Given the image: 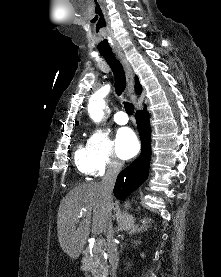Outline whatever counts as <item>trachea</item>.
I'll use <instances>...</instances> for the list:
<instances>
[{
    "instance_id": "1",
    "label": "trachea",
    "mask_w": 221,
    "mask_h": 277,
    "mask_svg": "<svg viewBox=\"0 0 221 277\" xmlns=\"http://www.w3.org/2000/svg\"><path fill=\"white\" fill-rule=\"evenodd\" d=\"M100 54L106 59L111 67L115 77V91L120 96L126 87V78L121 63L116 59L112 51H100ZM124 108L127 114L133 115L134 106L132 103L124 102Z\"/></svg>"
}]
</instances>
